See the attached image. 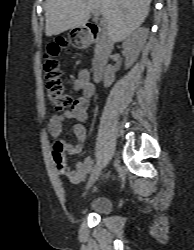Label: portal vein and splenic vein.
I'll return each instance as SVG.
<instances>
[{"mask_svg": "<svg viewBox=\"0 0 194 250\" xmlns=\"http://www.w3.org/2000/svg\"><path fill=\"white\" fill-rule=\"evenodd\" d=\"M92 14L94 15V17H98L100 15V13L98 11H92ZM101 25H105L106 24V19L105 18H101Z\"/></svg>", "mask_w": 194, "mask_h": 250, "instance_id": "1", "label": "portal vein and splenic vein"}]
</instances>
